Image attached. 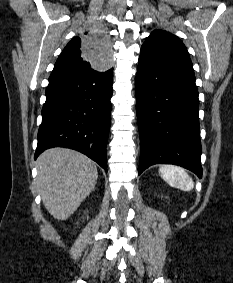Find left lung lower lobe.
Masks as SVG:
<instances>
[{
	"mask_svg": "<svg viewBox=\"0 0 233 283\" xmlns=\"http://www.w3.org/2000/svg\"><path fill=\"white\" fill-rule=\"evenodd\" d=\"M139 174L175 164L202 177L199 99L190 58L141 48L135 82Z\"/></svg>",
	"mask_w": 233,
	"mask_h": 283,
	"instance_id": "left-lung-lower-lobe-1",
	"label": "left lung lower lobe"
}]
</instances>
